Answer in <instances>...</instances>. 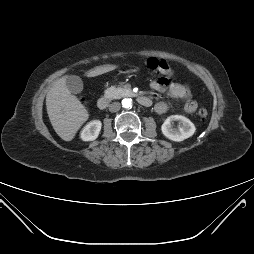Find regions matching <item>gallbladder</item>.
<instances>
[{"mask_svg": "<svg viewBox=\"0 0 254 254\" xmlns=\"http://www.w3.org/2000/svg\"><path fill=\"white\" fill-rule=\"evenodd\" d=\"M66 87L71 93L77 94L83 90V82L79 76L69 75L66 77Z\"/></svg>", "mask_w": 254, "mask_h": 254, "instance_id": "1", "label": "gallbladder"}]
</instances>
